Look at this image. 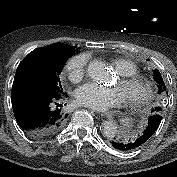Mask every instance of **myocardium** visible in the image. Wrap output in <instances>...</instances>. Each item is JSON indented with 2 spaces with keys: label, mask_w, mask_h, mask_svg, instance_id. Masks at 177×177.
I'll list each match as a JSON object with an SVG mask.
<instances>
[{
  "label": "myocardium",
  "mask_w": 177,
  "mask_h": 177,
  "mask_svg": "<svg viewBox=\"0 0 177 177\" xmlns=\"http://www.w3.org/2000/svg\"><path fill=\"white\" fill-rule=\"evenodd\" d=\"M120 83L126 87L137 90V93L130 94L126 97L127 104L132 107L146 103L152 94L150 82L140 75L122 76Z\"/></svg>",
  "instance_id": "1"
}]
</instances>
